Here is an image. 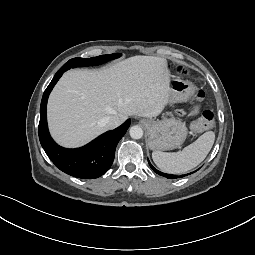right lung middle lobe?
<instances>
[{"mask_svg": "<svg viewBox=\"0 0 255 255\" xmlns=\"http://www.w3.org/2000/svg\"><path fill=\"white\" fill-rule=\"evenodd\" d=\"M121 54L120 53H115V54H109V55H101L98 57H92V58H73L71 60H69L67 63H65L63 66L64 67H68V69L70 68H74V67H82V66H95V65H99L102 63H105L109 60L115 59L120 57Z\"/></svg>", "mask_w": 255, "mask_h": 255, "instance_id": "dd1d6c3e", "label": "right lung middle lobe"}]
</instances>
